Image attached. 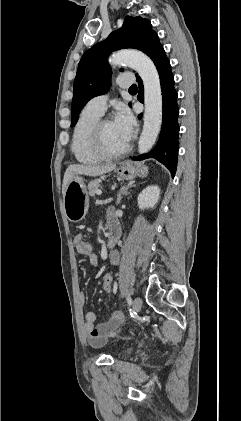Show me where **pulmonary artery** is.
Masks as SVG:
<instances>
[{
	"label": "pulmonary artery",
	"mask_w": 241,
	"mask_h": 421,
	"mask_svg": "<svg viewBox=\"0 0 241 421\" xmlns=\"http://www.w3.org/2000/svg\"><path fill=\"white\" fill-rule=\"evenodd\" d=\"M134 83V79L131 76H120L118 78V85L121 88H128ZM108 96L99 95L93 97L87 104V106L99 114H103L106 110Z\"/></svg>",
	"instance_id": "1"
}]
</instances>
